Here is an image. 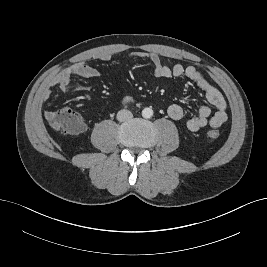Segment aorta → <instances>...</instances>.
Listing matches in <instances>:
<instances>
[{"label":"aorta","mask_w":267,"mask_h":267,"mask_svg":"<svg viewBox=\"0 0 267 267\" xmlns=\"http://www.w3.org/2000/svg\"><path fill=\"white\" fill-rule=\"evenodd\" d=\"M142 116L149 119L153 116V110L151 108H144L142 111Z\"/></svg>","instance_id":"aorta-1"}]
</instances>
